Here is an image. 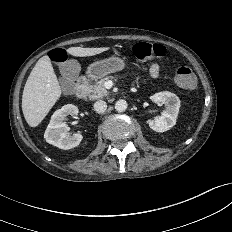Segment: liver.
<instances>
[{
  "label": "liver",
  "instance_id": "6515ba94",
  "mask_svg": "<svg viewBox=\"0 0 232 232\" xmlns=\"http://www.w3.org/2000/svg\"><path fill=\"white\" fill-rule=\"evenodd\" d=\"M109 47H71L67 53L75 57L94 56ZM61 96V88L47 55L41 57L32 69L22 95V111L30 127L38 126Z\"/></svg>",
  "mask_w": 232,
  "mask_h": 232
}]
</instances>
